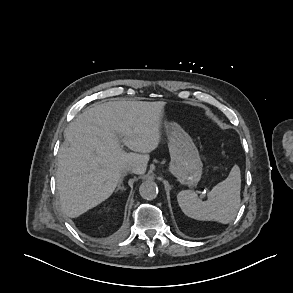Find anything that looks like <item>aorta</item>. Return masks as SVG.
Here are the masks:
<instances>
[{
    "label": "aorta",
    "instance_id": "obj_1",
    "mask_svg": "<svg viewBox=\"0 0 293 293\" xmlns=\"http://www.w3.org/2000/svg\"><path fill=\"white\" fill-rule=\"evenodd\" d=\"M139 193L142 198L153 200L158 194V187L153 181H144L139 187Z\"/></svg>",
    "mask_w": 293,
    "mask_h": 293
}]
</instances>
